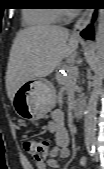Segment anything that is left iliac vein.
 Wrapping results in <instances>:
<instances>
[{
    "mask_svg": "<svg viewBox=\"0 0 104 169\" xmlns=\"http://www.w3.org/2000/svg\"><path fill=\"white\" fill-rule=\"evenodd\" d=\"M94 160H95V161H98V160H99L98 153H96V154H95V156H94Z\"/></svg>",
    "mask_w": 104,
    "mask_h": 169,
    "instance_id": "left-iliac-vein-1",
    "label": "left iliac vein"
}]
</instances>
